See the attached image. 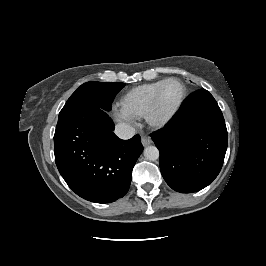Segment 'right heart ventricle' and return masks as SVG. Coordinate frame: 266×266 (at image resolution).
I'll list each match as a JSON object with an SVG mask.
<instances>
[{"label": "right heart ventricle", "mask_w": 266, "mask_h": 266, "mask_svg": "<svg viewBox=\"0 0 266 266\" xmlns=\"http://www.w3.org/2000/svg\"><path fill=\"white\" fill-rule=\"evenodd\" d=\"M164 80H159L132 88L122 98V108L129 112L132 116L143 117L154 93Z\"/></svg>", "instance_id": "obj_1"}]
</instances>
